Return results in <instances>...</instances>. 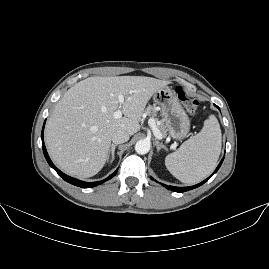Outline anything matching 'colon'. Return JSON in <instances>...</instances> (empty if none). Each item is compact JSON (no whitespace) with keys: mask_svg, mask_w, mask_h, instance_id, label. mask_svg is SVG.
<instances>
[{"mask_svg":"<svg viewBox=\"0 0 269 269\" xmlns=\"http://www.w3.org/2000/svg\"><path fill=\"white\" fill-rule=\"evenodd\" d=\"M177 94L186 112L191 116H195L198 112L199 101L195 98L188 97L182 88L177 89Z\"/></svg>","mask_w":269,"mask_h":269,"instance_id":"1","label":"colon"}]
</instances>
